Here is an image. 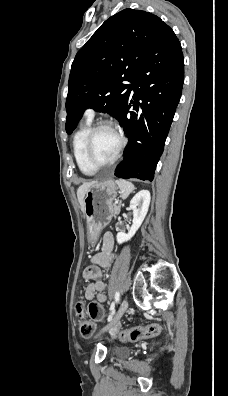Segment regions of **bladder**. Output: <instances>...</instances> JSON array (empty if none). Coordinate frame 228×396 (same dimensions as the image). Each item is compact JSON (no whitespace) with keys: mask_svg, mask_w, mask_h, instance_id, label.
Wrapping results in <instances>:
<instances>
[{"mask_svg":"<svg viewBox=\"0 0 228 396\" xmlns=\"http://www.w3.org/2000/svg\"><path fill=\"white\" fill-rule=\"evenodd\" d=\"M116 354L119 355V356H125V355L128 354V349L124 348V347H118L116 349Z\"/></svg>","mask_w":228,"mask_h":396,"instance_id":"1","label":"bladder"}]
</instances>
